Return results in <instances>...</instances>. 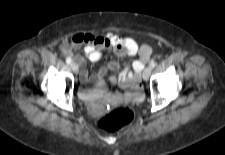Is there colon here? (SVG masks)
Here are the masks:
<instances>
[{
    "label": "colon",
    "instance_id": "1",
    "mask_svg": "<svg viewBox=\"0 0 225 155\" xmlns=\"http://www.w3.org/2000/svg\"><path fill=\"white\" fill-rule=\"evenodd\" d=\"M134 112L129 107H118L98 120V127L105 132H115L132 123Z\"/></svg>",
    "mask_w": 225,
    "mask_h": 155
}]
</instances>
